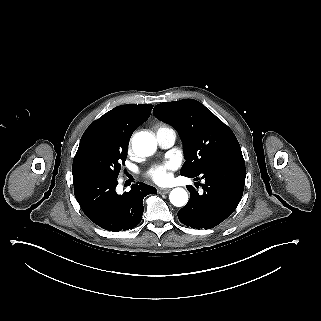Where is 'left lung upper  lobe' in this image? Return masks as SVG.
<instances>
[{"mask_svg": "<svg viewBox=\"0 0 321 321\" xmlns=\"http://www.w3.org/2000/svg\"><path fill=\"white\" fill-rule=\"evenodd\" d=\"M153 113L174 127L183 141L186 161L180 171L182 176L196 175L216 160L242 155L231 129L196 100L158 104Z\"/></svg>", "mask_w": 321, "mask_h": 321, "instance_id": "5c2ea615", "label": "left lung upper lobe"}]
</instances>
